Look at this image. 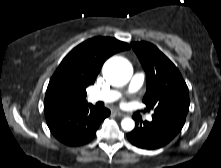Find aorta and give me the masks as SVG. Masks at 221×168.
<instances>
[{"mask_svg":"<svg viewBox=\"0 0 221 168\" xmlns=\"http://www.w3.org/2000/svg\"><path fill=\"white\" fill-rule=\"evenodd\" d=\"M133 73L131 63L123 57H112L103 66V76L114 86H124L129 82ZM124 131H132L135 122L130 117H125L121 121Z\"/></svg>","mask_w":221,"mask_h":168,"instance_id":"obj_1","label":"aorta"}]
</instances>
